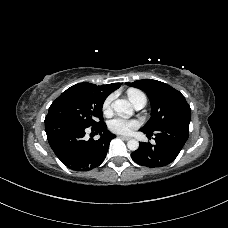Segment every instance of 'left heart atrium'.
I'll return each mask as SVG.
<instances>
[{
    "label": "left heart atrium",
    "instance_id": "obj_1",
    "mask_svg": "<svg viewBox=\"0 0 228 228\" xmlns=\"http://www.w3.org/2000/svg\"><path fill=\"white\" fill-rule=\"evenodd\" d=\"M139 125L136 120H129L121 117L112 119L109 122V128L116 133H128Z\"/></svg>",
    "mask_w": 228,
    "mask_h": 228
}]
</instances>
